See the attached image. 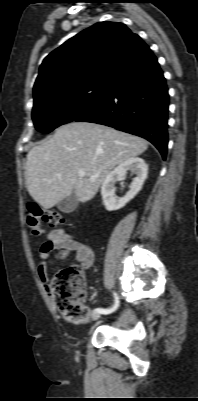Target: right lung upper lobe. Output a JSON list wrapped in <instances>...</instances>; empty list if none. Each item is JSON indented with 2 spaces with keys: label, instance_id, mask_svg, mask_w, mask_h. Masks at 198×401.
Listing matches in <instances>:
<instances>
[{
  "label": "right lung upper lobe",
  "instance_id": "1",
  "mask_svg": "<svg viewBox=\"0 0 198 401\" xmlns=\"http://www.w3.org/2000/svg\"><path fill=\"white\" fill-rule=\"evenodd\" d=\"M149 51L148 45L124 24L96 23L43 60L33 88L34 100L84 83H109Z\"/></svg>",
  "mask_w": 198,
  "mask_h": 401
}]
</instances>
